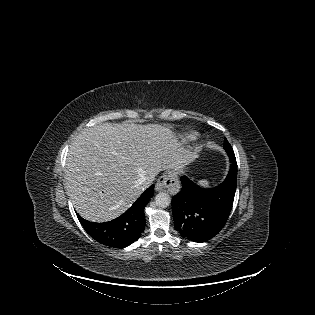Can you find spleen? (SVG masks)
<instances>
[{"instance_id":"1","label":"spleen","mask_w":315,"mask_h":315,"mask_svg":"<svg viewBox=\"0 0 315 315\" xmlns=\"http://www.w3.org/2000/svg\"><path fill=\"white\" fill-rule=\"evenodd\" d=\"M202 187H208L209 186V181L207 180H200L198 182Z\"/></svg>"}]
</instances>
